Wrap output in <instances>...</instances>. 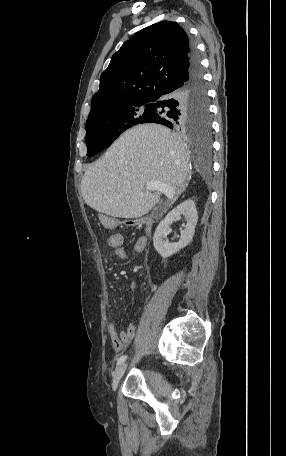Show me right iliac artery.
Instances as JSON below:
<instances>
[{
    "mask_svg": "<svg viewBox=\"0 0 286 456\" xmlns=\"http://www.w3.org/2000/svg\"><path fill=\"white\" fill-rule=\"evenodd\" d=\"M127 358V355H123L117 360V365H121Z\"/></svg>",
    "mask_w": 286,
    "mask_h": 456,
    "instance_id": "1",
    "label": "right iliac artery"
}]
</instances>
